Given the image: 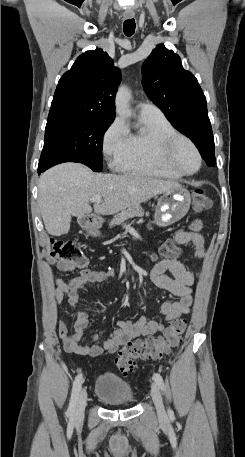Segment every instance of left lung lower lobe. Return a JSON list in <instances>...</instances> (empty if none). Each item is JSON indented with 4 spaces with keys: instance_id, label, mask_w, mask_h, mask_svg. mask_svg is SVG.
I'll return each instance as SVG.
<instances>
[{
    "instance_id": "1",
    "label": "left lung lower lobe",
    "mask_w": 245,
    "mask_h": 457,
    "mask_svg": "<svg viewBox=\"0 0 245 457\" xmlns=\"http://www.w3.org/2000/svg\"><path fill=\"white\" fill-rule=\"evenodd\" d=\"M198 150L202 158L205 160L208 166H215V154H214V139L213 135L210 134L204 137L200 142L196 143Z\"/></svg>"
}]
</instances>
